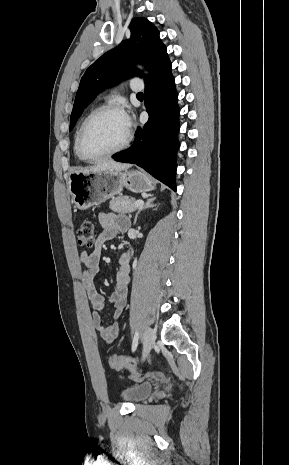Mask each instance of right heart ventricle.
I'll return each mask as SVG.
<instances>
[{"instance_id":"1","label":"right heart ventricle","mask_w":289,"mask_h":465,"mask_svg":"<svg viewBox=\"0 0 289 465\" xmlns=\"http://www.w3.org/2000/svg\"><path fill=\"white\" fill-rule=\"evenodd\" d=\"M83 120H84V119H82L81 122L79 123V125L77 126L76 131H75V134H74V138H73V149H74V153H75V155L77 156V158L80 159V160H82V158L80 157V155H79V153H78L77 141H78L79 130H80V127H81V124H82Z\"/></svg>"}]
</instances>
